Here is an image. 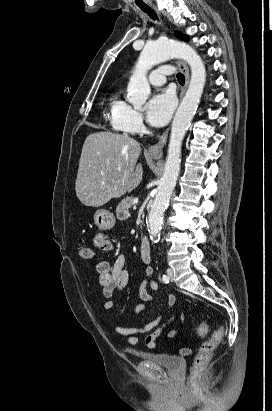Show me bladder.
I'll list each match as a JSON object with an SVG mask.
<instances>
[{"mask_svg":"<svg viewBox=\"0 0 272 411\" xmlns=\"http://www.w3.org/2000/svg\"><path fill=\"white\" fill-rule=\"evenodd\" d=\"M140 357L161 368H164L170 372H177L181 369L183 365V358L179 355L174 354H163V353H144Z\"/></svg>","mask_w":272,"mask_h":411,"instance_id":"obj_1","label":"bladder"}]
</instances>
